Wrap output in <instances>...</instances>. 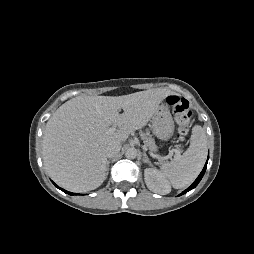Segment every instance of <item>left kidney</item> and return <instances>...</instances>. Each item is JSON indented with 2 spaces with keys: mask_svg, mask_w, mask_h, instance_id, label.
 I'll list each match as a JSON object with an SVG mask.
<instances>
[{
  "mask_svg": "<svg viewBox=\"0 0 254 254\" xmlns=\"http://www.w3.org/2000/svg\"><path fill=\"white\" fill-rule=\"evenodd\" d=\"M144 179L148 189L154 193L165 195L171 191L168 181L157 169L146 168L144 170Z\"/></svg>",
  "mask_w": 254,
  "mask_h": 254,
  "instance_id": "left-kidney-1",
  "label": "left kidney"
}]
</instances>
